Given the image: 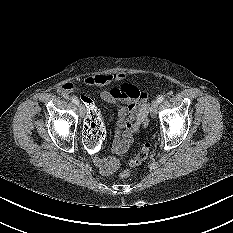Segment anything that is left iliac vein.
I'll return each mask as SVG.
<instances>
[{
	"mask_svg": "<svg viewBox=\"0 0 233 233\" xmlns=\"http://www.w3.org/2000/svg\"><path fill=\"white\" fill-rule=\"evenodd\" d=\"M157 107H158V102L153 101L150 107V113L153 118H155L157 115Z\"/></svg>",
	"mask_w": 233,
	"mask_h": 233,
	"instance_id": "1",
	"label": "left iliac vein"
}]
</instances>
